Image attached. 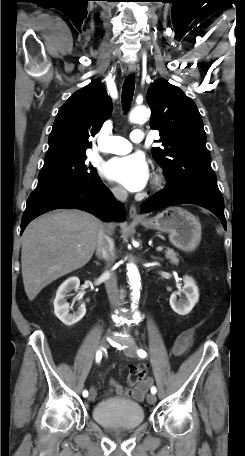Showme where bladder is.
<instances>
[{"mask_svg":"<svg viewBox=\"0 0 245 456\" xmlns=\"http://www.w3.org/2000/svg\"><path fill=\"white\" fill-rule=\"evenodd\" d=\"M92 417L99 425L108 429L133 430L143 423L144 411L135 401L108 398L93 407Z\"/></svg>","mask_w":245,"mask_h":456,"instance_id":"1","label":"bladder"}]
</instances>
